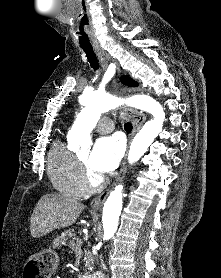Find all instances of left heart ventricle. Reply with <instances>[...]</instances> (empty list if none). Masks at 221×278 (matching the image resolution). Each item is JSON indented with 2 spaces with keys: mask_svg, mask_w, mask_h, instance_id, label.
Returning a JSON list of instances; mask_svg holds the SVG:
<instances>
[{
  "mask_svg": "<svg viewBox=\"0 0 221 278\" xmlns=\"http://www.w3.org/2000/svg\"><path fill=\"white\" fill-rule=\"evenodd\" d=\"M80 158L87 164L89 163V155L88 154H82Z\"/></svg>",
  "mask_w": 221,
  "mask_h": 278,
  "instance_id": "b2bd125f",
  "label": "left heart ventricle"
}]
</instances>
